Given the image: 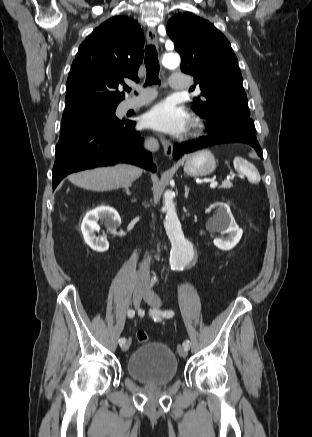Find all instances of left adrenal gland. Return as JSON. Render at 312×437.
<instances>
[{"label": "left adrenal gland", "mask_w": 312, "mask_h": 437, "mask_svg": "<svg viewBox=\"0 0 312 437\" xmlns=\"http://www.w3.org/2000/svg\"><path fill=\"white\" fill-rule=\"evenodd\" d=\"M189 190L190 189L187 187V185H185V198H188Z\"/></svg>", "instance_id": "left-adrenal-gland-1"}]
</instances>
